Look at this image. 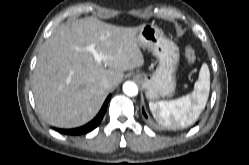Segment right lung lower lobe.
Instances as JSON below:
<instances>
[{"mask_svg":"<svg viewBox=\"0 0 249 165\" xmlns=\"http://www.w3.org/2000/svg\"><path fill=\"white\" fill-rule=\"evenodd\" d=\"M110 97H111L110 95L107 97L98 115L88 124L75 129H55V130L58 131L59 133L67 135H80L92 131L100 124L101 120L103 119Z\"/></svg>","mask_w":249,"mask_h":165,"instance_id":"98d812e1","label":"right lung lower lobe"}]
</instances>
